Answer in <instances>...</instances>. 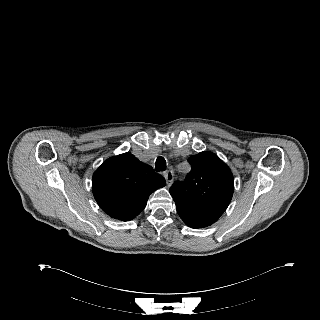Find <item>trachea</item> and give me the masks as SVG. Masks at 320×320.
Returning <instances> with one entry per match:
<instances>
[{"label":"trachea","mask_w":320,"mask_h":320,"mask_svg":"<svg viewBox=\"0 0 320 320\" xmlns=\"http://www.w3.org/2000/svg\"><path fill=\"white\" fill-rule=\"evenodd\" d=\"M155 169L157 172L166 170V161L163 157L160 156L156 159Z\"/></svg>","instance_id":"3493384b"}]
</instances>
